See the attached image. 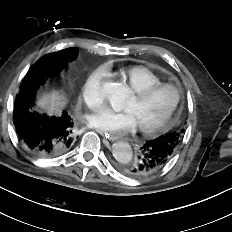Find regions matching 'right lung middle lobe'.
Returning <instances> with one entry per match:
<instances>
[{
	"label": "right lung middle lobe",
	"mask_w": 232,
	"mask_h": 232,
	"mask_svg": "<svg viewBox=\"0 0 232 232\" xmlns=\"http://www.w3.org/2000/svg\"><path fill=\"white\" fill-rule=\"evenodd\" d=\"M72 49L74 48H67L40 58L25 75L20 90L29 86L38 88L48 77L62 71L70 61L77 57L76 51Z\"/></svg>",
	"instance_id": "dd1d6c3e"
}]
</instances>
